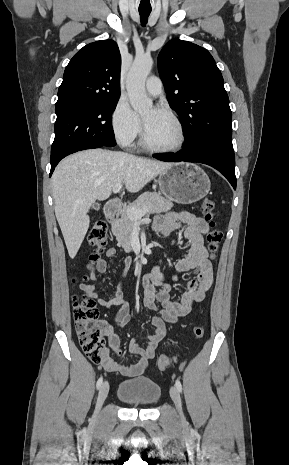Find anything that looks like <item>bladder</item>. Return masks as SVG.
I'll return each instance as SVG.
<instances>
[{"instance_id":"bladder-1","label":"bladder","mask_w":289,"mask_h":465,"mask_svg":"<svg viewBox=\"0 0 289 465\" xmlns=\"http://www.w3.org/2000/svg\"><path fill=\"white\" fill-rule=\"evenodd\" d=\"M160 397L159 385L142 377L123 380L117 389V398L129 406L150 408Z\"/></svg>"}]
</instances>
